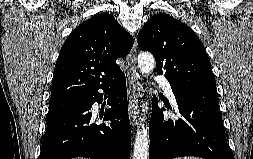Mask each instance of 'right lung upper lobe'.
I'll use <instances>...</instances> for the list:
<instances>
[{
	"mask_svg": "<svg viewBox=\"0 0 253 159\" xmlns=\"http://www.w3.org/2000/svg\"><path fill=\"white\" fill-rule=\"evenodd\" d=\"M132 36L109 14H99L74 29L64 42L54 70L51 100L90 95L122 71L116 64L133 46Z\"/></svg>",
	"mask_w": 253,
	"mask_h": 159,
	"instance_id": "1",
	"label": "right lung upper lobe"
}]
</instances>
